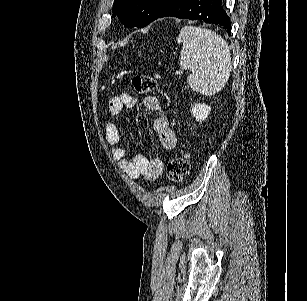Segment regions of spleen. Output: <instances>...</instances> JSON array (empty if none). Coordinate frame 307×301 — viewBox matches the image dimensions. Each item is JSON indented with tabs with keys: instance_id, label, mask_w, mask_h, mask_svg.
Segmentation results:
<instances>
[{
	"instance_id": "3e777b00",
	"label": "spleen",
	"mask_w": 307,
	"mask_h": 301,
	"mask_svg": "<svg viewBox=\"0 0 307 301\" xmlns=\"http://www.w3.org/2000/svg\"><path fill=\"white\" fill-rule=\"evenodd\" d=\"M177 42L182 44L179 64L191 70L187 84L192 90L212 96L224 88L232 62L230 48L220 34L201 26H183Z\"/></svg>"
}]
</instances>
